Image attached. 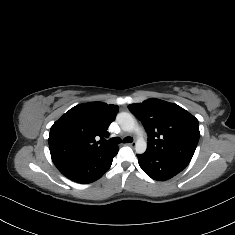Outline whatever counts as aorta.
Masks as SVG:
<instances>
[{
  "label": "aorta",
  "mask_w": 235,
  "mask_h": 235,
  "mask_svg": "<svg viewBox=\"0 0 235 235\" xmlns=\"http://www.w3.org/2000/svg\"><path fill=\"white\" fill-rule=\"evenodd\" d=\"M117 122L121 129L126 132H136L138 128L135 118L130 113L118 114ZM135 149L137 153H144L147 149V142L141 132L136 136Z\"/></svg>",
  "instance_id": "aorta-1"
}]
</instances>
